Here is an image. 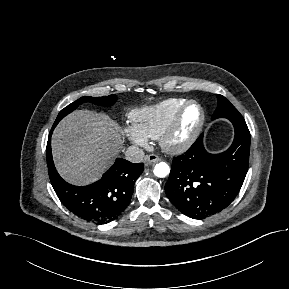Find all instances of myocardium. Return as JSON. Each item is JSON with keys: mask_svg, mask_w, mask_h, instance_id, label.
<instances>
[{"mask_svg": "<svg viewBox=\"0 0 289 289\" xmlns=\"http://www.w3.org/2000/svg\"><path fill=\"white\" fill-rule=\"evenodd\" d=\"M196 106L199 109L200 115L196 125L185 136L179 137L182 129L184 116L190 106ZM206 121V113L203 106L196 100H187L179 109L171 124L160 136L161 147L172 154H179L189 149L200 136Z\"/></svg>", "mask_w": 289, "mask_h": 289, "instance_id": "obj_1", "label": "myocardium"}]
</instances>
